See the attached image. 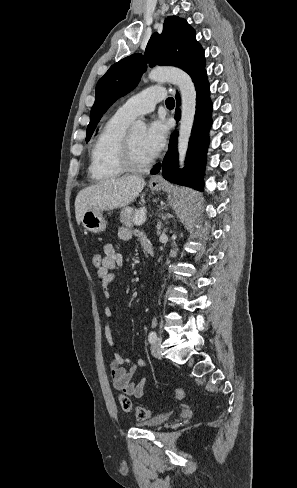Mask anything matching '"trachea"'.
I'll use <instances>...</instances> for the list:
<instances>
[{
	"instance_id": "3493384b",
	"label": "trachea",
	"mask_w": 297,
	"mask_h": 488,
	"mask_svg": "<svg viewBox=\"0 0 297 488\" xmlns=\"http://www.w3.org/2000/svg\"><path fill=\"white\" fill-rule=\"evenodd\" d=\"M174 104L175 103H174V99L173 98L169 97V98L166 99V106L167 107H174Z\"/></svg>"
}]
</instances>
